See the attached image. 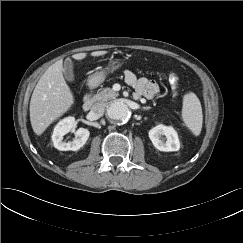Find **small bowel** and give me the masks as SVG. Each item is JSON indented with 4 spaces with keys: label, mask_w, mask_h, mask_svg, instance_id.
<instances>
[{
    "label": "small bowel",
    "mask_w": 243,
    "mask_h": 243,
    "mask_svg": "<svg viewBox=\"0 0 243 243\" xmlns=\"http://www.w3.org/2000/svg\"><path fill=\"white\" fill-rule=\"evenodd\" d=\"M124 79L127 84L133 87L137 98L144 97L151 99L160 91V87L156 81L145 77H137L132 71L126 70L124 72Z\"/></svg>",
    "instance_id": "c3829d8e"
}]
</instances>
